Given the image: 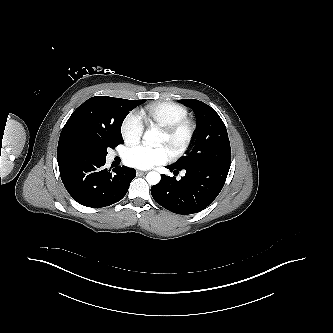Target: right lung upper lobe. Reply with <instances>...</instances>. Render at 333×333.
Instances as JSON below:
<instances>
[{"instance_id":"obj_1","label":"right lung upper lobe","mask_w":333,"mask_h":333,"mask_svg":"<svg viewBox=\"0 0 333 333\" xmlns=\"http://www.w3.org/2000/svg\"><path fill=\"white\" fill-rule=\"evenodd\" d=\"M113 99V97L108 96L92 97L72 113L59 137L58 164L78 152L76 137L83 129L92 124H103L108 121Z\"/></svg>"}]
</instances>
